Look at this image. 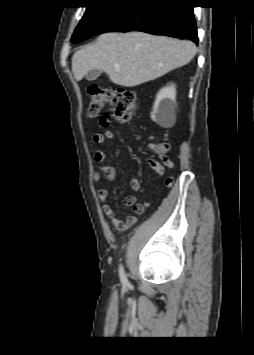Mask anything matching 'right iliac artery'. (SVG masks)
Listing matches in <instances>:
<instances>
[{
    "label": "right iliac artery",
    "instance_id": "82829eb1",
    "mask_svg": "<svg viewBox=\"0 0 254 355\" xmlns=\"http://www.w3.org/2000/svg\"><path fill=\"white\" fill-rule=\"evenodd\" d=\"M119 276H120L121 282L123 284H127L128 283V280H127V278L125 276V273H124V270H123L122 266H120V269H119Z\"/></svg>",
    "mask_w": 254,
    "mask_h": 355
}]
</instances>
